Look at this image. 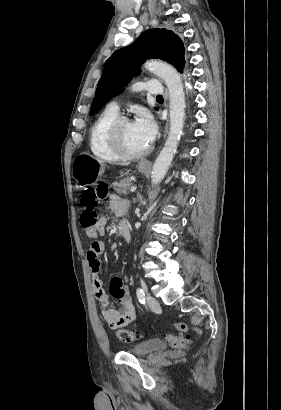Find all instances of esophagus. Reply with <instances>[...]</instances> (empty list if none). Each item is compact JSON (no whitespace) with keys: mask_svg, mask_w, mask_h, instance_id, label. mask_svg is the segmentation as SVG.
Wrapping results in <instances>:
<instances>
[{"mask_svg":"<svg viewBox=\"0 0 281 410\" xmlns=\"http://www.w3.org/2000/svg\"><path fill=\"white\" fill-rule=\"evenodd\" d=\"M167 131H168V121H167V124H166L165 129H164V134H163L164 138L166 137ZM139 165L143 166V167H149V166H151V163L149 161H141L139 163Z\"/></svg>","mask_w":281,"mask_h":410,"instance_id":"obj_1","label":"esophagus"}]
</instances>
